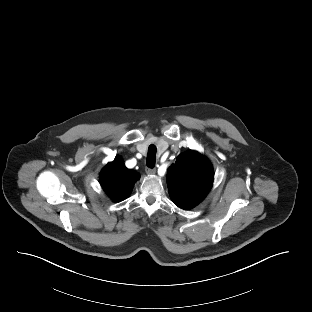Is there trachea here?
<instances>
[{
  "mask_svg": "<svg viewBox=\"0 0 312 312\" xmlns=\"http://www.w3.org/2000/svg\"><path fill=\"white\" fill-rule=\"evenodd\" d=\"M156 152H157V148L155 145L152 144L148 147L146 163L149 168H153L155 166Z\"/></svg>",
  "mask_w": 312,
  "mask_h": 312,
  "instance_id": "1",
  "label": "trachea"
}]
</instances>
